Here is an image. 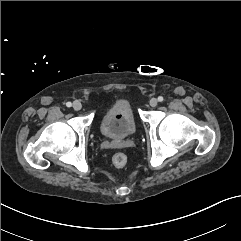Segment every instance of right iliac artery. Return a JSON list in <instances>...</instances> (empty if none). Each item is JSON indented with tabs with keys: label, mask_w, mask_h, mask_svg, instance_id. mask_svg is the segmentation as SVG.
Instances as JSON below:
<instances>
[{
	"label": "right iliac artery",
	"mask_w": 241,
	"mask_h": 241,
	"mask_svg": "<svg viewBox=\"0 0 241 241\" xmlns=\"http://www.w3.org/2000/svg\"><path fill=\"white\" fill-rule=\"evenodd\" d=\"M66 106H67V107H71V106H72V103H71V102H67V103H66Z\"/></svg>",
	"instance_id": "1"
}]
</instances>
